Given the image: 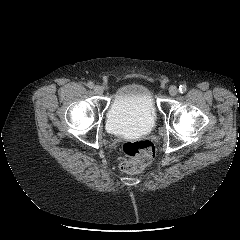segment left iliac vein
Returning a JSON list of instances; mask_svg holds the SVG:
<instances>
[{
    "mask_svg": "<svg viewBox=\"0 0 240 240\" xmlns=\"http://www.w3.org/2000/svg\"><path fill=\"white\" fill-rule=\"evenodd\" d=\"M178 92H179V89L176 86H174V85L170 86L169 94L171 96H176L178 94Z\"/></svg>",
    "mask_w": 240,
    "mask_h": 240,
    "instance_id": "1",
    "label": "left iliac vein"
}]
</instances>
